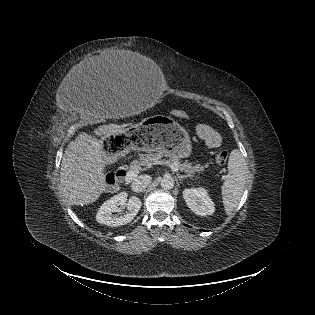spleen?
<instances>
[{
	"instance_id": "obj_1",
	"label": "spleen",
	"mask_w": 315,
	"mask_h": 315,
	"mask_svg": "<svg viewBox=\"0 0 315 315\" xmlns=\"http://www.w3.org/2000/svg\"><path fill=\"white\" fill-rule=\"evenodd\" d=\"M247 163L242 153L235 149L228 161V175L221 187L222 199L226 214L238 206L244 192Z\"/></svg>"
}]
</instances>
